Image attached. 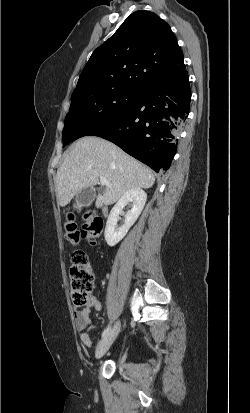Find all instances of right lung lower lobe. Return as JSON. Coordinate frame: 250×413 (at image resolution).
Returning a JSON list of instances; mask_svg holds the SVG:
<instances>
[{
    "mask_svg": "<svg viewBox=\"0 0 250 413\" xmlns=\"http://www.w3.org/2000/svg\"><path fill=\"white\" fill-rule=\"evenodd\" d=\"M190 100L188 74L174 82L153 83L142 88L124 111L88 135L113 142L156 172L166 171L176 154Z\"/></svg>",
    "mask_w": 250,
    "mask_h": 413,
    "instance_id": "98d812e1",
    "label": "right lung lower lobe"
}]
</instances>
